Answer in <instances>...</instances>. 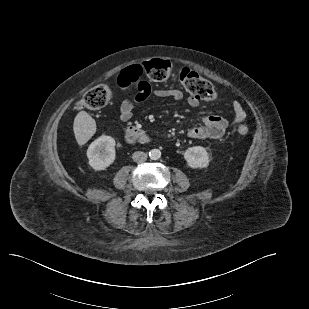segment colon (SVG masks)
Instances as JSON below:
<instances>
[{
    "instance_id": "colon-1",
    "label": "colon",
    "mask_w": 309,
    "mask_h": 309,
    "mask_svg": "<svg viewBox=\"0 0 309 309\" xmlns=\"http://www.w3.org/2000/svg\"><path fill=\"white\" fill-rule=\"evenodd\" d=\"M174 72L171 62L162 59H153L143 65H133L124 70L123 77L131 83L142 82L143 74L153 81H165ZM179 81L182 87L193 97L204 101L216 99L217 93L214 86L197 72L184 67L179 72ZM112 98V92L107 85H97L88 90L77 105L78 109H100L107 105ZM241 136L248 133L245 125L238 127Z\"/></svg>"
}]
</instances>
